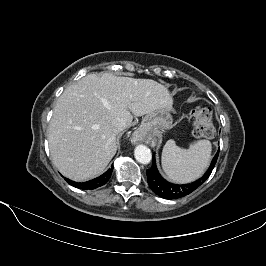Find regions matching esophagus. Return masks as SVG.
<instances>
[{"instance_id":"obj_1","label":"esophagus","mask_w":266,"mask_h":266,"mask_svg":"<svg viewBox=\"0 0 266 266\" xmlns=\"http://www.w3.org/2000/svg\"><path fill=\"white\" fill-rule=\"evenodd\" d=\"M140 137H141V133L139 131H136L133 135V141H138L140 140Z\"/></svg>"}]
</instances>
